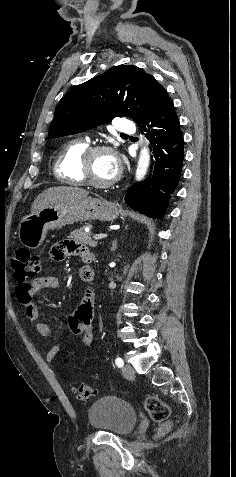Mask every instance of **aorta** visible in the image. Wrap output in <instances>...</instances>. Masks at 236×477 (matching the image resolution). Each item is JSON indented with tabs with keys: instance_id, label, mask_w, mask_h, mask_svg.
I'll list each match as a JSON object with an SVG mask.
<instances>
[{
	"instance_id": "762f6f07",
	"label": "aorta",
	"mask_w": 236,
	"mask_h": 477,
	"mask_svg": "<svg viewBox=\"0 0 236 477\" xmlns=\"http://www.w3.org/2000/svg\"><path fill=\"white\" fill-rule=\"evenodd\" d=\"M149 164H150L149 150L146 147H144L140 151V156H139L137 169L135 173L136 180L139 181L145 177Z\"/></svg>"
}]
</instances>
